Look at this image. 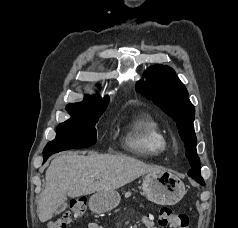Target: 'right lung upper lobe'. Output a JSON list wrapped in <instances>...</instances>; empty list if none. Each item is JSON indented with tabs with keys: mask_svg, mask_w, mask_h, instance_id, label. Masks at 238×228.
I'll return each mask as SVG.
<instances>
[{
	"mask_svg": "<svg viewBox=\"0 0 238 228\" xmlns=\"http://www.w3.org/2000/svg\"><path fill=\"white\" fill-rule=\"evenodd\" d=\"M109 96L101 98L100 96H86L84 101L74 104H69L66 109L70 113H89L96 106L108 103Z\"/></svg>",
	"mask_w": 238,
	"mask_h": 228,
	"instance_id": "cb5924a9",
	"label": "right lung upper lobe"
}]
</instances>
